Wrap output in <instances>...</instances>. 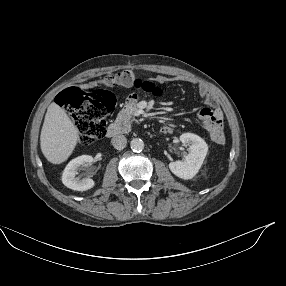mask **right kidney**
Instances as JSON below:
<instances>
[{
	"label": "right kidney",
	"instance_id": "obj_1",
	"mask_svg": "<svg viewBox=\"0 0 286 286\" xmlns=\"http://www.w3.org/2000/svg\"><path fill=\"white\" fill-rule=\"evenodd\" d=\"M93 162V157L89 155H82L71 160L62 174V183L66 187L76 191H86L93 188L95 182L92 179H80L79 177H75L79 167L92 165Z\"/></svg>",
	"mask_w": 286,
	"mask_h": 286
}]
</instances>
